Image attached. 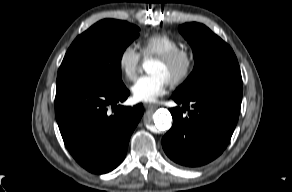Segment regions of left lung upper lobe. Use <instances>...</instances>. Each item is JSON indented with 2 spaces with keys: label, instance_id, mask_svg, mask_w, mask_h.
<instances>
[{
  "label": "left lung upper lobe",
  "instance_id": "obj_1",
  "mask_svg": "<svg viewBox=\"0 0 292 192\" xmlns=\"http://www.w3.org/2000/svg\"><path fill=\"white\" fill-rule=\"evenodd\" d=\"M179 31L193 49L195 66L174 95L187 97L215 90L242 92L239 64L226 42L205 25L195 22L181 25Z\"/></svg>",
  "mask_w": 292,
  "mask_h": 192
}]
</instances>
